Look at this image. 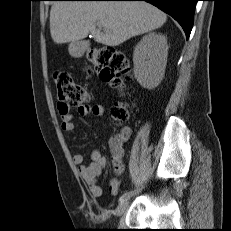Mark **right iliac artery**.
Instances as JSON below:
<instances>
[{
    "instance_id": "right-iliac-artery-1",
    "label": "right iliac artery",
    "mask_w": 231,
    "mask_h": 231,
    "mask_svg": "<svg viewBox=\"0 0 231 231\" xmlns=\"http://www.w3.org/2000/svg\"><path fill=\"white\" fill-rule=\"evenodd\" d=\"M132 191L130 192H125L123 195H121V197L119 198V201L122 202L124 200H126L127 198H129L132 195Z\"/></svg>"
}]
</instances>
